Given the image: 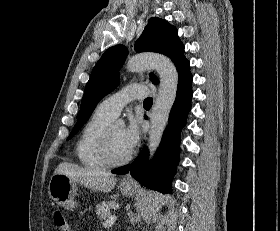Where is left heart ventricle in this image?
Segmentation results:
<instances>
[{
  "mask_svg": "<svg viewBox=\"0 0 280 231\" xmlns=\"http://www.w3.org/2000/svg\"><path fill=\"white\" fill-rule=\"evenodd\" d=\"M122 126L117 124H112L110 129V150L114 158L119 159L126 156L128 153L124 151L120 143V133L122 131Z\"/></svg>",
  "mask_w": 280,
  "mask_h": 231,
  "instance_id": "1",
  "label": "left heart ventricle"
}]
</instances>
